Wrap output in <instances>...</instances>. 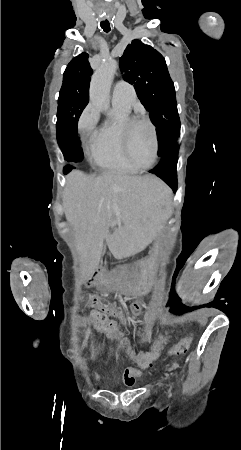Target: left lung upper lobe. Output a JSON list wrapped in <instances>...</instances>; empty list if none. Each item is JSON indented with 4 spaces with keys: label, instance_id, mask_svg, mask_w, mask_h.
I'll list each match as a JSON object with an SVG mask.
<instances>
[{
    "label": "left lung upper lobe",
    "instance_id": "left-lung-upper-lobe-1",
    "mask_svg": "<svg viewBox=\"0 0 241 450\" xmlns=\"http://www.w3.org/2000/svg\"><path fill=\"white\" fill-rule=\"evenodd\" d=\"M125 81L134 85L138 98L150 112L158 133V155L166 156L177 147L180 119L174 84L164 57L139 40L132 41L120 58Z\"/></svg>",
    "mask_w": 241,
    "mask_h": 450
}]
</instances>
